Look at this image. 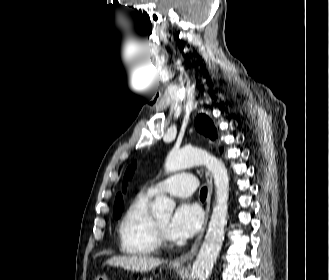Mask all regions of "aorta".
Here are the masks:
<instances>
[{
    "instance_id": "762f6f07",
    "label": "aorta",
    "mask_w": 329,
    "mask_h": 280,
    "mask_svg": "<svg viewBox=\"0 0 329 280\" xmlns=\"http://www.w3.org/2000/svg\"><path fill=\"white\" fill-rule=\"evenodd\" d=\"M198 165H205L213 175L216 204L190 275L192 280H207L220 253L227 224L229 198L227 169L222 161L204 150L184 148L170 151L165 162V171L171 173ZM174 208L175 203L164 195L158 196L152 204L153 213L160 217H170Z\"/></svg>"
}]
</instances>
